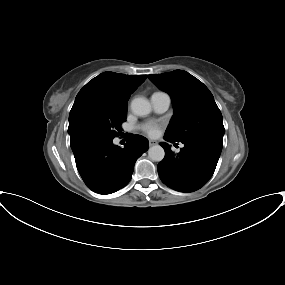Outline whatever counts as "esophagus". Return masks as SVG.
I'll list each match as a JSON object with an SVG mask.
<instances>
[{
	"label": "esophagus",
	"instance_id": "obj_1",
	"mask_svg": "<svg viewBox=\"0 0 285 285\" xmlns=\"http://www.w3.org/2000/svg\"><path fill=\"white\" fill-rule=\"evenodd\" d=\"M156 144H157L156 141H154V140H149V146H154V145H156Z\"/></svg>",
	"mask_w": 285,
	"mask_h": 285
}]
</instances>
